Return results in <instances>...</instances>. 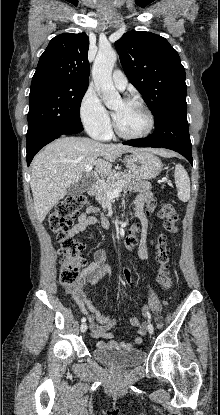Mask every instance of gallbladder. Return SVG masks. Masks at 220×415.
Segmentation results:
<instances>
[{
	"instance_id": "gallbladder-1",
	"label": "gallbladder",
	"mask_w": 220,
	"mask_h": 415,
	"mask_svg": "<svg viewBox=\"0 0 220 415\" xmlns=\"http://www.w3.org/2000/svg\"><path fill=\"white\" fill-rule=\"evenodd\" d=\"M88 188V183L85 179H81L77 183L73 184L67 191L69 196H79L83 194Z\"/></svg>"
}]
</instances>
